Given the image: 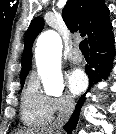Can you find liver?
Wrapping results in <instances>:
<instances>
[{"instance_id": "obj_1", "label": "liver", "mask_w": 116, "mask_h": 134, "mask_svg": "<svg viewBox=\"0 0 116 134\" xmlns=\"http://www.w3.org/2000/svg\"><path fill=\"white\" fill-rule=\"evenodd\" d=\"M18 134H56L52 128L41 130L39 133H35L33 131H21Z\"/></svg>"}]
</instances>
